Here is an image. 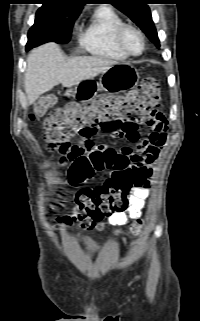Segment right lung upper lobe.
I'll list each match as a JSON object with an SVG mask.
<instances>
[{"mask_svg": "<svg viewBox=\"0 0 200 321\" xmlns=\"http://www.w3.org/2000/svg\"><path fill=\"white\" fill-rule=\"evenodd\" d=\"M42 7L48 8L54 14H69L81 12L88 0H42Z\"/></svg>", "mask_w": 200, "mask_h": 321, "instance_id": "right-lung-upper-lobe-1", "label": "right lung upper lobe"}]
</instances>
